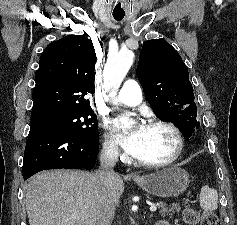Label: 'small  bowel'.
<instances>
[{"label":"small bowel","mask_w":237,"mask_h":225,"mask_svg":"<svg viewBox=\"0 0 237 225\" xmlns=\"http://www.w3.org/2000/svg\"><path fill=\"white\" fill-rule=\"evenodd\" d=\"M156 225H171V223L167 220H160ZM181 225V224H178Z\"/></svg>","instance_id":"c3829d8e"}]
</instances>
